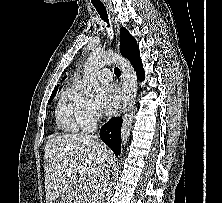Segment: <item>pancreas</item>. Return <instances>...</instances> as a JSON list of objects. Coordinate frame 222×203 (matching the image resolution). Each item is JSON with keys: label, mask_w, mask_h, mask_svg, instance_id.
<instances>
[{"label": "pancreas", "mask_w": 222, "mask_h": 203, "mask_svg": "<svg viewBox=\"0 0 222 203\" xmlns=\"http://www.w3.org/2000/svg\"><path fill=\"white\" fill-rule=\"evenodd\" d=\"M96 194L91 191H85L83 188L79 189L78 201L76 203H94Z\"/></svg>", "instance_id": "cf45deb5"}]
</instances>
